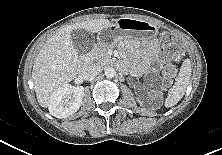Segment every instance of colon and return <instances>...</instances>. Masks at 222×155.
<instances>
[{
  "label": "colon",
  "instance_id": "1",
  "mask_svg": "<svg viewBox=\"0 0 222 155\" xmlns=\"http://www.w3.org/2000/svg\"><path fill=\"white\" fill-rule=\"evenodd\" d=\"M161 43L162 53L165 59L174 60L179 57L180 49L176 39L172 35L164 33L161 37ZM176 74L177 69L173 64L168 63L165 65L163 70V78L167 85L171 86L175 83Z\"/></svg>",
  "mask_w": 222,
  "mask_h": 155
}]
</instances>
